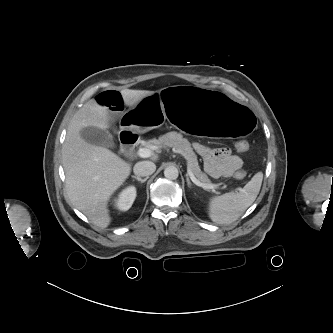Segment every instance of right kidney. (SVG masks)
Returning a JSON list of instances; mask_svg holds the SVG:
<instances>
[{"label":"right kidney","instance_id":"obj_1","mask_svg":"<svg viewBox=\"0 0 333 333\" xmlns=\"http://www.w3.org/2000/svg\"><path fill=\"white\" fill-rule=\"evenodd\" d=\"M135 198L136 188L134 186H128L123 189L115 199V206L121 211H126L132 206Z\"/></svg>","mask_w":333,"mask_h":333}]
</instances>
